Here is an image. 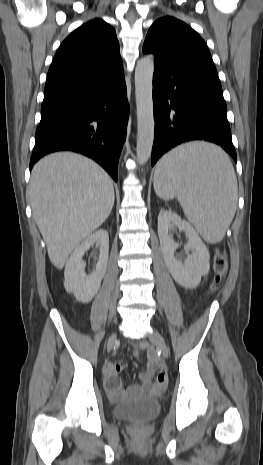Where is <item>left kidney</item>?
<instances>
[{
  "label": "left kidney",
  "instance_id": "5707ae66",
  "mask_svg": "<svg viewBox=\"0 0 263 465\" xmlns=\"http://www.w3.org/2000/svg\"><path fill=\"white\" fill-rule=\"evenodd\" d=\"M174 227L184 231L188 237L184 249L187 252L192 251V253L187 254L184 261L175 256L179 244L169 234ZM158 236L166 266L174 280L185 288H196L201 281V277L207 275L210 268L209 251L197 231L177 214L162 210L158 215Z\"/></svg>",
  "mask_w": 263,
  "mask_h": 465
}]
</instances>
